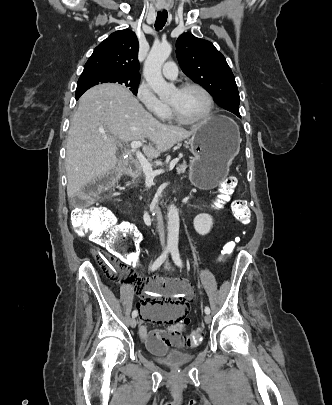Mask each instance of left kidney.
Instances as JSON below:
<instances>
[{"mask_svg": "<svg viewBox=\"0 0 332 405\" xmlns=\"http://www.w3.org/2000/svg\"><path fill=\"white\" fill-rule=\"evenodd\" d=\"M194 228L200 235H206L213 226V219L209 214H199L194 218Z\"/></svg>", "mask_w": 332, "mask_h": 405, "instance_id": "obj_1", "label": "left kidney"}]
</instances>
